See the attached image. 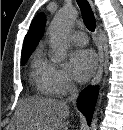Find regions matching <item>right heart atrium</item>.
Here are the masks:
<instances>
[{
	"label": "right heart atrium",
	"instance_id": "1",
	"mask_svg": "<svg viewBox=\"0 0 123 130\" xmlns=\"http://www.w3.org/2000/svg\"><path fill=\"white\" fill-rule=\"evenodd\" d=\"M49 73L54 96L62 97L74 90L75 83L65 67L58 64H50Z\"/></svg>",
	"mask_w": 123,
	"mask_h": 130
}]
</instances>
